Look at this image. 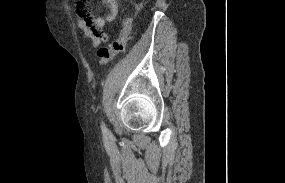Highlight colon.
Wrapping results in <instances>:
<instances>
[{
    "label": "colon",
    "mask_w": 285,
    "mask_h": 183,
    "mask_svg": "<svg viewBox=\"0 0 285 183\" xmlns=\"http://www.w3.org/2000/svg\"><path fill=\"white\" fill-rule=\"evenodd\" d=\"M133 22L134 13L132 10H129L123 17L119 37L108 46L99 48L98 60L100 65H106L115 56L125 52L131 40Z\"/></svg>",
    "instance_id": "5ec220e1"
}]
</instances>
